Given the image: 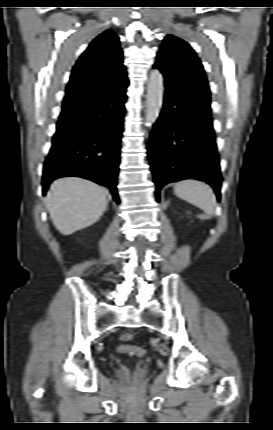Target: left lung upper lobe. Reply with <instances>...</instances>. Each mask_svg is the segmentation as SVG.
Listing matches in <instances>:
<instances>
[{"instance_id": "1", "label": "left lung upper lobe", "mask_w": 273, "mask_h": 430, "mask_svg": "<svg viewBox=\"0 0 273 430\" xmlns=\"http://www.w3.org/2000/svg\"><path fill=\"white\" fill-rule=\"evenodd\" d=\"M155 68L179 99L211 117L208 81L200 59L182 39L167 35L158 51Z\"/></svg>"}]
</instances>
